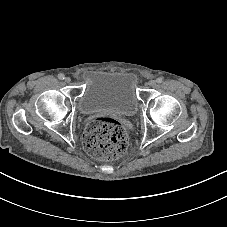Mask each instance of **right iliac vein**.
Listing matches in <instances>:
<instances>
[{
	"label": "right iliac vein",
	"instance_id": "right-iliac-vein-1",
	"mask_svg": "<svg viewBox=\"0 0 227 227\" xmlns=\"http://www.w3.org/2000/svg\"><path fill=\"white\" fill-rule=\"evenodd\" d=\"M64 81L67 82V83H69L71 81V78L70 77H65L64 78Z\"/></svg>",
	"mask_w": 227,
	"mask_h": 227
}]
</instances>
